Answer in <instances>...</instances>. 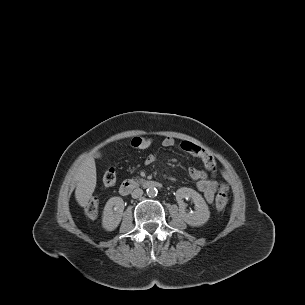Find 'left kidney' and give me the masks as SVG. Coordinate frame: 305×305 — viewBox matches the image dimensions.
I'll list each match as a JSON object with an SVG mask.
<instances>
[{
    "label": "left kidney",
    "instance_id": "1",
    "mask_svg": "<svg viewBox=\"0 0 305 305\" xmlns=\"http://www.w3.org/2000/svg\"><path fill=\"white\" fill-rule=\"evenodd\" d=\"M176 201L179 205L181 218L190 226H202L210 218V211L204 198L195 190L187 187L178 189L175 193ZM192 199L195 204L194 212H186V204L183 199Z\"/></svg>",
    "mask_w": 305,
    "mask_h": 305
}]
</instances>
